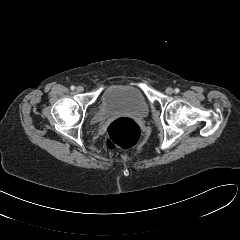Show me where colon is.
Listing matches in <instances>:
<instances>
[{
    "instance_id": "1",
    "label": "colon",
    "mask_w": 240,
    "mask_h": 240,
    "mask_svg": "<svg viewBox=\"0 0 240 240\" xmlns=\"http://www.w3.org/2000/svg\"><path fill=\"white\" fill-rule=\"evenodd\" d=\"M141 136L139 125L129 118H120L113 121L107 128L104 146L109 150L129 148L135 145Z\"/></svg>"
}]
</instances>
